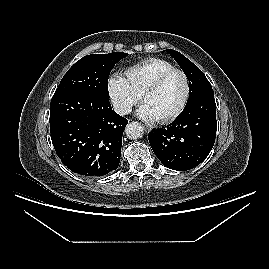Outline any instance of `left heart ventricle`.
Here are the masks:
<instances>
[{
  "label": "left heart ventricle",
  "instance_id": "b2bd125f",
  "mask_svg": "<svg viewBox=\"0 0 269 269\" xmlns=\"http://www.w3.org/2000/svg\"><path fill=\"white\" fill-rule=\"evenodd\" d=\"M186 85L180 73L169 76L162 86L155 92L148 94L144 102L147 103L158 119L176 110L185 95Z\"/></svg>",
  "mask_w": 269,
  "mask_h": 269
}]
</instances>
